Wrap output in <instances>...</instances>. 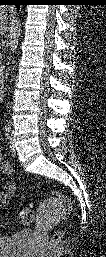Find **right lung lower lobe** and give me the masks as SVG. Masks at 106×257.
<instances>
[{"label": "right lung lower lobe", "mask_w": 106, "mask_h": 257, "mask_svg": "<svg viewBox=\"0 0 106 257\" xmlns=\"http://www.w3.org/2000/svg\"><path fill=\"white\" fill-rule=\"evenodd\" d=\"M16 7L19 9L20 3H14Z\"/></svg>", "instance_id": "1"}]
</instances>
